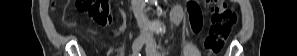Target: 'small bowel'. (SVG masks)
Returning <instances> with one entry per match:
<instances>
[{"label": "small bowel", "instance_id": "small-bowel-1", "mask_svg": "<svg viewBox=\"0 0 297 56\" xmlns=\"http://www.w3.org/2000/svg\"><path fill=\"white\" fill-rule=\"evenodd\" d=\"M191 28L194 33H198L202 27V14L196 2H189L187 6Z\"/></svg>", "mask_w": 297, "mask_h": 56}]
</instances>
